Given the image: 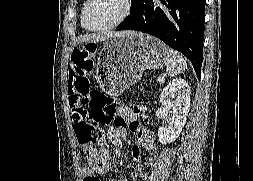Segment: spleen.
Segmentation results:
<instances>
[{
  "label": "spleen",
  "instance_id": "3e777b00",
  "mask_svg": "<svg viewBox=\"0 0 253 181\" xmlns=\"http://www.w3.org/2000/svg\"><path fill=\"white\" fill-rule=\"evenodd\" d=\"M166 72L169 76H176L187 68L185 59L176 51L167 47Z\"/></svg>",
  "mask_w": 253,
  "mask_h": 181
}]
</instances>
